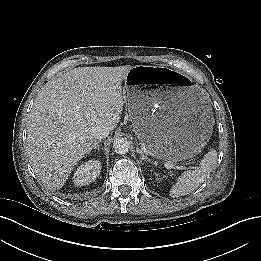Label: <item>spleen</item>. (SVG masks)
<instances>
[{
	"label": "spleen",
	"instance_id": "3e777b00",
	"mask_svg": "<svg viewBox=\"0 0 261 261\" xmlns=\"http://www.w3.org/2000/svg\"><path fill=\"white\" fill-rule=\"evenodd\" d=\"M216 162L217 151L211 149L204 155L199 167L192 171H186L178 177L177 182L170 189V196L173 198L184 196L197 189L213 171Z\"/></svg>",
	"mask_w": 261,
	"mask_h": 261
}]
</instances>
